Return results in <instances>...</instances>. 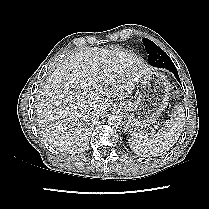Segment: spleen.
I'll list each match as a JSON object with an SVG mask.
<instances>
[{
    "instance_id": "spleen-1",
    "label": "spleen",
    "mask_w": 209,
    "mask_h": 209,
    "mask_svg": "<svg viewBox=\"0 0 209 209\" xmlns=\"http://www.w3.org/2000/svg\"><path fill=\"white\" fill-rule=\"evenodd\" d=\"M185 110L181 105L174 107L170 121L156 134L148 137L147 133L133 130L129 146L135 154L143 157H155L168 151L179 139L185 125Z\"/></svg>"
}]
</instances>
